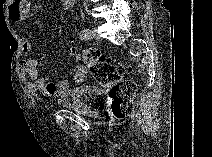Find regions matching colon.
I'll return each mask as SVG.
<instances>
[{
	"instance_id": "obj_1",
	"label": "colon",
	"mask_w": 212,
	"mask_h": 157,
	"mask_svg": "<svg viewBox=\"0 0 212 157\" xmlns=\"http://www.w3.org/2000/svg\"><path fill=\"white\" fill-rule=\"evenodd\" d=\"M76 79L82 80L90 74L96 82L107 89L111 97V111L115 118L123 119L132 112V98L136 83L124 78L129 68L117 64L100 49H88L76 54Z\"/></svg>"
}]
</instances>
